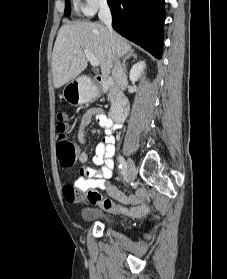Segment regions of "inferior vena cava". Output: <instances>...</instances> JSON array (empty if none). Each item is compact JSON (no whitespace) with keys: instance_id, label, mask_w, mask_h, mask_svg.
Segmentation results:
<instances>
[{"instance_id":"obj_1","label":"inferior vena cava","mask_w":227,"mask_h":279,"mask_svg":"<svg viewBox=\"0 0 227 279\" xmlns=\"http://www.w3.org/2000/svg\"><path fill=\"white\" fill-rule=\"evenodd\" d=\"M98 17L105 24L109 32V35L112 38L113 35L112 15L106 2H103L101 4ZM112 77L115 80V83L118 88L122 90L126 89L128 85L126 72H124L123 67L118 59L114 61L112 67Z\"/></svg>"}]
</instances>
